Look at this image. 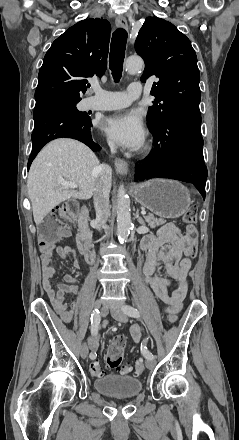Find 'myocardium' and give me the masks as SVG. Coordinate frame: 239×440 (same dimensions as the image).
Returning <instances> with one entry per match:
<instances>
[{
  "label": "myocardium",
  "mask_w": 239,
  "mask_h": 440,
  "mask_svg": "<svg viewBox=\"0 0 239 440\" xmlns=\"http://www.w3.org/2000/svg\"><path fill=\"white\" fill-rule=\"evenodd\" d=\"M151 148H152L151 145L147 146L145 152L148 153L151 150Z\"/></svg>",
  "instance_id": "obj_1"
}]
</instances>
